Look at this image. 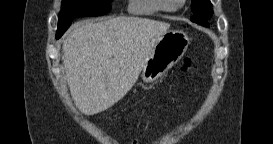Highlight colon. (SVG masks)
<instances>
[{"label": "colon", "mask_w": 273, "mask_h": 144, "mask_svg": "<svg viewBox=\"0 0 273 144\" xmlns=\"http://www.w3.org/2000/svg\"><path fill=\"white\" fill-rule=\"evenodd\" d=\"M191 66V60L190 59H185L182 63V71H186L190 68Z\"/></svg>", "instance_id": "1"}]
</instances>
